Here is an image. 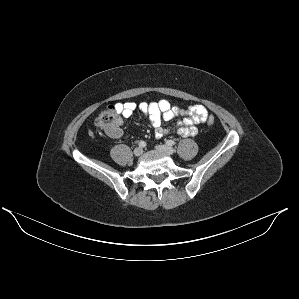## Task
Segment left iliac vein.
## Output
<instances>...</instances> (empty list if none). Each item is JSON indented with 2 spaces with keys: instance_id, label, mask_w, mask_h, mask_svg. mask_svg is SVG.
Instances as JSON below:
<instances>
[{
  "instance_id": "1",
  "label": "left iliac vein",
  "mask_w": 299,
  "mask_h": 299,
  "mask_svg": "<svg viewBox=\"0 0 299 299\" xmlns=\"http://www.w3.org/2000/svg\"><path fill=\"white\" fill-rule=\"evenodd\" d=\"M156 149L160 152L166 153L168 155H171L175 152L174 148L167 146V145H157Z\"/></svg>"
}]
</instances>
